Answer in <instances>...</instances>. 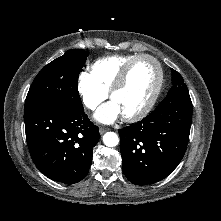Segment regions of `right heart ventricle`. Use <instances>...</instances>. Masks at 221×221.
<instances>
[{
  "instance_id": "e07e8e85",
  "label": "right heart ventricle",
  "mask_w": 221,
  "mask_h": 221,
  "mask_svg": "<svg viewBox=\"0 0 221 221\" xmlns=\"http://www.w3.org/2000/svg\"><path fill=\"white\" fill-rule=\"evenodd\" d=\"M136 56L137 54H120L100 58L92 63L91 75L108 93L122 68Z\"/></svg>"
}]
</instances>
